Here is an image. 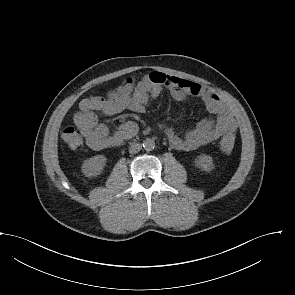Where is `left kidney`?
<instances>
[{
  "label": "left kidney",
  "instance_id": "obj_1",
  "mask_svg": "<svg viewBox=\"0 0 295 295\" xmlns=\"http://www.w3.org/2000/svg\"><path fill=\"white\" fill-rule=\"evenodd\" d=\"M195 165L196 167L200 168L203 171H211L214 169L213 159L209 155H199L195 159Z\"/></svg>",
  "mask_w": 295,
  "mask_h": 295
}]
</instances>
